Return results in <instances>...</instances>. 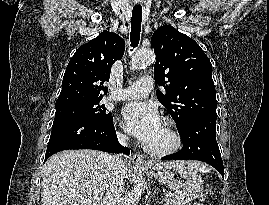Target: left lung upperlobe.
Listing matches in <instances>:
<instances>
[{
  "label": "left lung upper lobe",
  "instance_id": "1",
  "mask_svg": "<svg viewBox=\"0 0 269 205\" xmlns=\"http://www.w3.org/2000/svg\"><path fill=\"white\" fill-rule=\"evenodd\" d=\"M156 53L155 82L158 100L168 109L181 133L193 120L216 117L212 64L202 48L170 25L159 27L151 38Z\"/></svg>",
  "mask_w": 269,
  "mask_h": 205
}]
</instances>
